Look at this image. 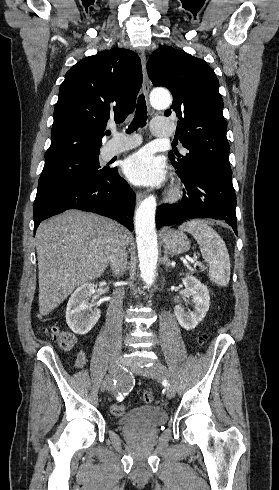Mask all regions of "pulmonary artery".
Segmentation results:
<instances>
[{
    "mask_svg": "<svg viewBox=\"0 0 279 490\" xmlns=\"http://www.w3.org/2000/svg\"><path fill=\"white\" fill-rule=\"evenodd\" d=\"M152 131L160 136L163 140L170 137L174 131V126L169 122L168 117H155L153 120ZM115 135L119 134L118 130L114 131ZM114 144H108L105 147V157L111 158L117 156L134 146H140V137H114Z\"/></svg>",
    "mask_w": 279,
    "mask_h": 490,
    "instance_id": "1",
    "label": "pulmonary artery"
}]
</instances>
